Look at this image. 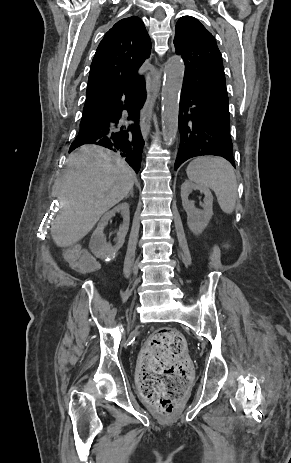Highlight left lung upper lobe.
Masks as SVG:
<instances>
[{
    "instance_id": "5c2ea615",
    "label": "left lung upper lobe",
    "mask_w": 291,
    "mask_h": 463,
    "mask_svg": "<svg viewBox=\"0 0 291 463\" xmlns=\"http://www.w3.org/2000/svg\"><path fill=\"white\" fill-rule=\"evenodd\" d=\"M174 45L185 64L182 88L229 113L222 56L212 34L197 19L183 16L175 27Z\"/></svg>"
}]
</instances>
